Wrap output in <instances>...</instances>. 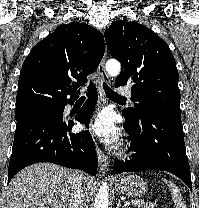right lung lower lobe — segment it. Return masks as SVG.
Masks as SVG:
<instances>
[{
    "instance_id": "1",
    "label": "right lung lower lobe",
    "mask_w": 199,
    "mask_h": 208,
    "mask_svg": "<svg viewBox=\"0 0 199 208\" xmlns=\"http://www.w3.org/2000/svg\"><path fill=\"white\" fill-rule=\"evenodd\" d=\"M88 95L87 102L76 116L79 122L86 125L97 102V90L93 85ZM64 108L65 105L61 106V116ZM73 125L72 121L45 117L17 121L8 167V183L21 169L38 162L55 163L96 175L98 160L91 135L88 131L72 133Z\"/></svg>"
}]
</instances>
